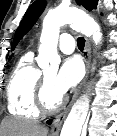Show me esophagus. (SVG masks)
Wrapping results in <instances>:
<instances>
[{
  "mask_svg": "<svg viewBox=\"0 0 117 136\" xmlns=\"http://www.w3.org/2000/svg\"><path fill=\"white\" fill-rule=\"evenodd\" d=\"M84 60H85V65H86L85 77H84L82 83L80 84V86L78 87V89L75 91V93L72 97V100H71L70 104L68 105V107L55 117L54 122H53L52 127H51V135L52 136H58L59 135L63 121L65 120L72 104L74 103V101L78 97L82 86L85 84V82L88 79V76H89V73H90V68H91V46H90L89 39H86V44H85V49H84Z\"/></svg>",
  "mask_w": 117,
  "mask_h": 136,
  "instance_id": "34e87169",
  "label": "esophagus"
}]
</instances>
